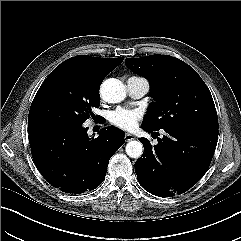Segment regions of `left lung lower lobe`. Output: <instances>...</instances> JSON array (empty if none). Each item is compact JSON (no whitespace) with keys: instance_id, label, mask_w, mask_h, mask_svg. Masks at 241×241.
<instances>
[{"instance_id":"1","label":"left lung lower lobe","mask_w":241,"mask_h":241,"mask_svg":"<svg viewBox=\"0 0 241 241\" xmlns=\"http://www.w3.org/2000/svg\"><path fill=\"white\" fill-rule=\"evenodd\" d=\"M143 129L147 132L151 130ZM151 146L140 138L144 152L135 163L138 182L149 193L160 197L181 194L206 173L214 155L218 130L198 126H172Z\"/></svg>"}]
</instances>
